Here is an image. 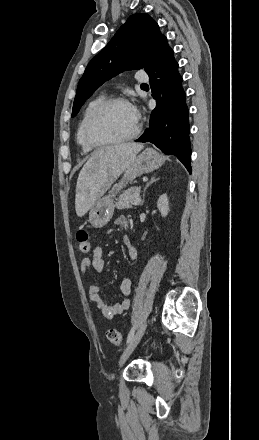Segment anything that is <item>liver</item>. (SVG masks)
Masks as SVG:
<instances>
[{
  "label": "liver",
  "instance_id": "obj_1",
  "mask_svg": "<svg viewBox=\"0 0 259 440\" xmlns=\"http://www.w3.org/2000/svg\"><path fill=\"white\" fill-rule=\"evenodd\" d=\"M142 149L143 144L124 143L100 149L90 157L77 179L75 210L78 217L91 209Z\"/></svg>",
  "mask_w": 259,
  "mask_h": 440
}]
</instances>
